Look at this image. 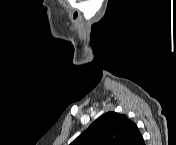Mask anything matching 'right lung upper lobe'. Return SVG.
<instances>
[{
	"mask_svg": "<svg viewBox=\"0 0 176 145\" xmlns=\"http://www.w3.org/2000/svg\"><path fill=\"white\" fill-rule=\"evenodd\" d=\"M71 145H145L136 124L125 115L108 112L94 121Z\"/></svg>",
	"mask_w": 176,
	"mask_h": 145,
	"instance_id": "cb5924a9",
	"label": "right lung upper lobe"
}]
</instances>
